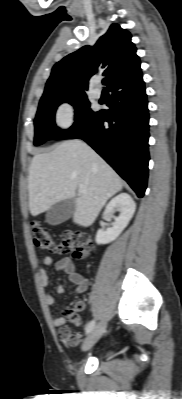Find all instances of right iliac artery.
<instances>
[{
    "label": "right iliac artery",
    "instance_id": "obj_1",
    "mask_svg": "<svg viewBox=\"0 0 182 399\" xmlns=\"http://www.w3.org/2000/svg\"><path fill=\"white\" fill-rule=\"evenodd\" d=\"M94 326H95V321L94 320L90 321L85 329L86 334H89L93 330Z\"/></svg>",
    "mask_w": 182,
    "mask_h": 399
}]
</instances>
